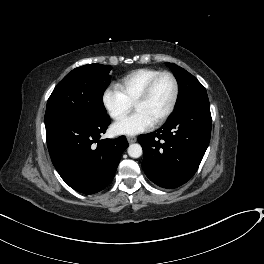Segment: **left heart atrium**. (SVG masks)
Instances as JSON below:
<instances>
[{
  "mask_svg": "<svg viewBox=\"0 0 264 264\" xmlns=\"http://www.w3.org/2000/svg\"><path fill=\"white\" fill-rule=\"evenodd\" d=\"M153 121L142 112H134L114 125L117 134L136 135L149 130Z\"/></svg>",
  "mask_w": 264,
  "mask_h": 264,
  "instance_id": "obj_1",
  "label": "left heart atrium"
}]
</instances>
